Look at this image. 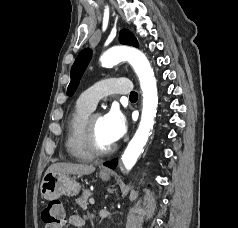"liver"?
<instances>
[{
  "instance_id": "obj_1",
  "label": "liver",
  "mask_w": 238,
  "mask_h": 228,
  "mask_svg": "<svg viewBox=\"0 0 238 228\" xmlns=\"http://www.w3.org/2000/svg\"><path fill=\"white\" fill-rule=\"evenodd\" d=\"M95 171V167L93 165L87 164H79V163H55L52 164L46 171L49 172H57L63 174H73V175H88ZM45 173V174H46Z\"/></svg>"
}]
</instances>
